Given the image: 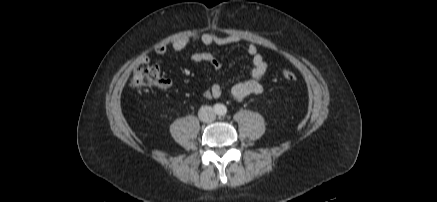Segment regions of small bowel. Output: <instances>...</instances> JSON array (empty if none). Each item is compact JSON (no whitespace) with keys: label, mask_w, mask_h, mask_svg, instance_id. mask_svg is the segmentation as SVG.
Wrapping results in <instances>:
<instances>
[{"label":"small bowel","mask_w":437,"mask_h":202,"mask_svg":"<svg viewBox=\"0 0 437 202\" xmlns=\"http://www.w3.org/2000/svg\"><path fill=\"white\" fill-rule=\"evenodd\" d=\"M241 40L242 38L237 35H220L215 32H205L176 39L172 43L171 47L174 52H181L192 41H199L206 46L212 44L218 46H227L230 44L239 43L241 42ZM246 51L251 57L252 61V69L250 71V75L247 79L232 85L228 91L230 96L237 100H243L249 95L261 93L263 90L261 80L265 77L268 70V64L262 54L259 53L258 48L255 44H249L246 48ZM154 52L158 55H165L168 52V47L166 45L159 44L154 48ZM186 59L195 63L208 62L216 71H219L222 67L221 61L218 56L214 53H210L207 51L190 54L186 56ZM145 60L148 61V58H145ZM170 86L171 81L165 78L164 83L161 85V87L168 88ZM223 92L224 90L222 86L219 83L215 82L212 84L210 89L205 91L204 97L207 99L219 98L220 96H222Z\"/></svg>","instance_id":"obj_1"}]
</instances>
